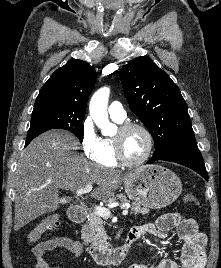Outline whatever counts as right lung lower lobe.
<instances>
[{"instance_id":"1","label":"right lung lower lobe","mask_w":221,"mask_h":268,"mask_svg":"<svg viewBox=\"0 0 221 268\" xmlns=\"http://www.w3.org/2000/svg\"><path fill=\"white\" fill-rule=\"evenodd\" d=\"M35 137L32 138H27L26 143H25V147L34 139Z\"/></svg>"}]
</instances>
